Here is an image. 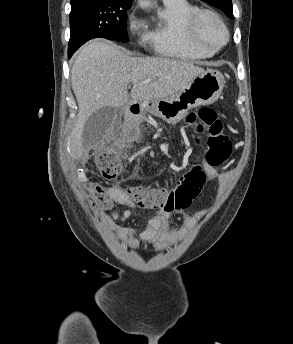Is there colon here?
Returning <instances> with one entry per match:
<instances>
[{"mask_svg":"<svg viewBox=\"0 0 293 344\" xmlns=\"http://www.w3.org/2000/svg\"><path fill=\"white\" fill-rule=\"evenodd\" d=\"M185 123L195 128L197 135L194 141L200 143L198 133L208 134L205 152V162L209 167H220L226 163L232 154V142L226 126L218 112L210 107H203L197 112L190 113ZM98 172L107 179H114L122 174L123 162L121 157L112 151H99L91 157ZM194 173H188L171 189L150 188L125 180L123 187L139 205L164 210L183 209L190 206L202 189ZM113 200L109 193L99 185L90 187V207L96 213L109 211Z\"/></svg>","mask_w":293,"mask_h":344,"instance_id":"5ec220e1","label":"colon"}]
</instances>
